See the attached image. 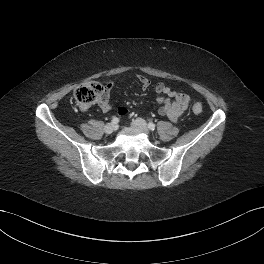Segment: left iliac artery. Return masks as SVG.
<instances>
[{
    "label": "left iliac artery",
    "instance_id": "44dca946",
    "mask_svg": "<svg viewBox=\"0 0 264 264\" xmlns=\"http://www.w3.org/2000/svg\"><path fill=\"white\" fill-rule=\"evenodd\" d=\"M148 128L150 129V130H155V124L154 123H152V122H149L148 123Z\"/></svg>",
    "mask_w": 264,
    "mask_h": 264
}]
</instances>
